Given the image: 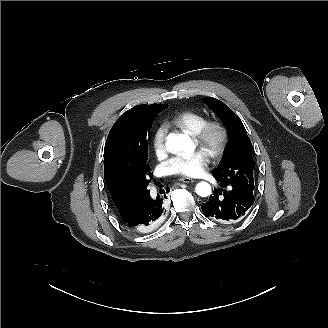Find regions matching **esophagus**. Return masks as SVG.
Wrapping results in <instances>:
<instances>
[{
	"instance_id": "1",
	"label": "esophagus",
	"mask_w": 328,
	"mask_h": 328,
	"mask_svg": "<svg viewBox=\"0 0 328 328\" xmlns=\"http://www.w3.org/2000/svg\"><path fill=\"white\" fill-rule=\"evenodd\" d=\"M178 181L184 182V183H193V182H195L194 179L188 178V177L179 178Z\"/></svg>"
}]
</instances>
